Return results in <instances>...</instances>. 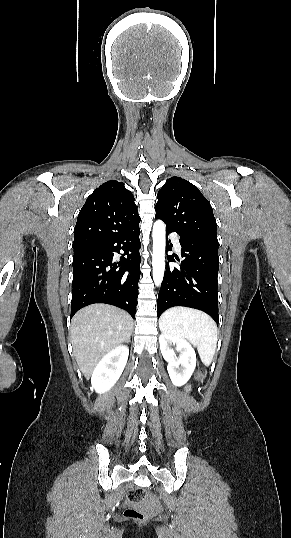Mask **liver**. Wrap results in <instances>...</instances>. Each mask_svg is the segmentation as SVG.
Instances as JSON below:
<instances>
[{"label":"liver","instance_id":"6515ba94","mask_svg":"<svg viewBox=\"0 0 291 538\" xmlns=\"http://www.w3.org/2000/svg\"><path fill=\"white\" fill-rule=\"evenodd\" d=\"M132 331V317L114 306L93 304L75 314L70 328L73 356L86 379L108 352L130 339Z\"/></svg>","mask_w":291,"mask_h":538}]
</instances>
